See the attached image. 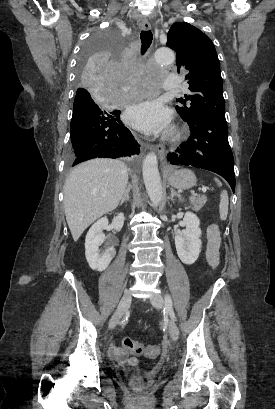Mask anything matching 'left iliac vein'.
I'll use <instances>...</instances> for the list:
<instances>
[{"instance_id": "1", "label": "left iliac vein", "mask_w": 275, "mask_h": 409, "mask_svg": "<svg viewBox=\"0 0 275 409\" xmlns=\"http://www.w3.org/2000/svg\"><path fill=\"white\" fill-rule=\"evenodd\" d=\"M150 302L153 307L157 309H161L164 306L163 297L160 295H154L150 298ZM168 332L170 334L171 339L176 342L179 337V328L174 320H170L168 323Z\"/></svg>"}]
</instances>
